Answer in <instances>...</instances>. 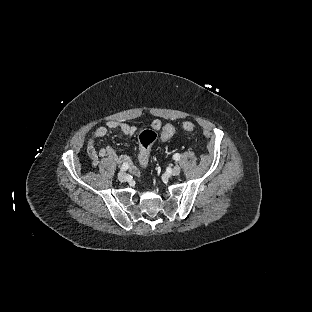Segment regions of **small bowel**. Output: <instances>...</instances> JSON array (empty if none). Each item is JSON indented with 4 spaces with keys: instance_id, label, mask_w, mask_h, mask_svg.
I'll return each instance as SVG.
<instances>
[{
    "instance_id": "c3829d8e",
    "label": "small bowel",
    "mask_w": 312,
    "mask_h": 312,
    "mask_svg": "<svg viewBox=\"0 0 312 312\" xmlns=\"http://www.w3.org/2000/svg\"><path fill=\"white\" fill-rule=\"evenodd\" d=\"M109 130H119L125 139L131 138L137 131V127L133 124H128L121 121H109L106 125L100 126L92 133L87 144V153L91 158L94 165H97L102 158L108 157L116 162L128 161V158L123 155H119L116 151L110 147H103L98 149L96 147V142L105 137ZM130 172L132 175H138V169L135 166L130 167Z\"/></svg>"
}]
</instances>
